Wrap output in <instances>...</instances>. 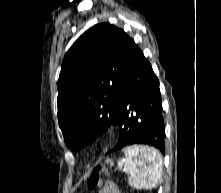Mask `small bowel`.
Returning a JSON list of instances; mask_svg holds the SVG:
<instances>
[{"instance_id": "small-bowel-1", "label": "small bowel", "mask_w": 221, "mask_h": 193, "mask_svg": "<svg viewBox=\"0 0 221 193\" xmlns=\"http://www.w3.org/2000/svg\"><path fill=\"white\" fill-rule=\"evenodd\" d=\"M99 193H119L117 187L112 183H105Z\"/></svg>"}]
</instances>
